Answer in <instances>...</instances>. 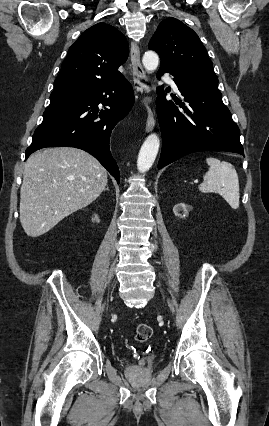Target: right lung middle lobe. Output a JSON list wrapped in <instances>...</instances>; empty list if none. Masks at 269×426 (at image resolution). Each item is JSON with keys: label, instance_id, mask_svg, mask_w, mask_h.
<instances>
[{"label": "right lung middle lobe", "instance_id": "dd1d6c3e", "mask_svg": "<svg viewBox=\"0 0 269 426\" xmlns=\"http://www.w3.org/2000/svg\"><path fill=\"white\" fill-rule=\"evenodd\" d=\"M80 94L81 92L75 91L52 92L50 95V104L45 111L55 110L73 103L80 96Z\"/></svg>", "mask_w": 269, "mask_h": 426}]
</instances>
